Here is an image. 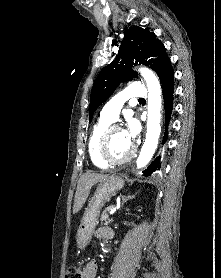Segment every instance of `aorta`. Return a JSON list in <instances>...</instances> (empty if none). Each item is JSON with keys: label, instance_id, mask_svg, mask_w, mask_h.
Masks as SVG:
<instances>
[{"label": "aorta", "instance_id": "762f6f07", "mask_svg": "<svg viewBox=\"0 0 221 278\" xmlns=\"http://www.w3.org/2000/svg\"><path fill=\"white\" fill-rule=\"evenodd\" d=\"M139 72L143 76L148 88V120L146 139L137 158L138 169L145 167L151 160L158 145L161 133V86L155 73L145 67H141Z\"/></svg>", "mask_w": 221, "mask_h": 278}]
</instances>
